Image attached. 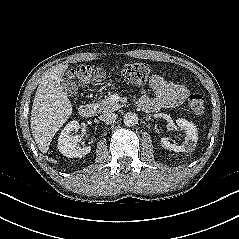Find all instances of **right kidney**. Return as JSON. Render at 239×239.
Instances as JSON below:
<instances>
[{
    "label": "right kidney",
    "mask_w": 239,
    "mask_h": 239,
    "mask_svg": "<svg viewBox=\"0 0 239 239\" xmlns=\"http://www.w3.org/2000/svg\"><path fill=\"white\" fill-rule=\"evenodd\" d=\"M79 127L77 120L69 122L58 138V149L68 158L82 157L91 151V146L83 148L78 146L79 136L77 134L74 135L72 132L77 131Z\"/></svg>",
    "instance_id": "1"
}]
</instances>
